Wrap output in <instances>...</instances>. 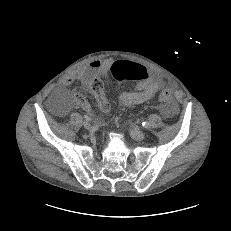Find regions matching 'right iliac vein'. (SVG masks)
Instances as JSON below:
<instances>
[{
    "mask_svg": "<svg viewBox=\"0 0 231 231\" xmlns=\"http://www.w3.org/2000/svg\"><path fill=\"white\" fill-rule=\"evenodd\" d=\"M83 126H84V128H86V129H90V128H91L90 123H89L88 121H86V120L83 122Z\"/></svg>",
    "mask_w": 231,
    "mask_h": 231,
    "instance_id": "1",
    "label": "right iliac vein"
}]
</instances>
